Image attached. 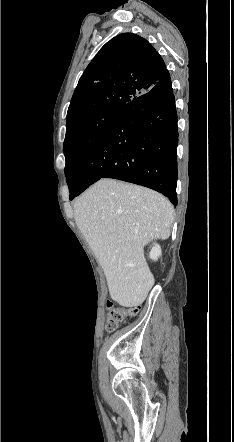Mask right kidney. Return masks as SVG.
<instances>
[{
  "mask_svg": "<svg viewBox=\"0 0 234 442\" xmlns=\"http://www.w3.org/2000/svg\"><path fill=\"white\" fill-rule=\"evenodd\" d=\"M149 256L152 260H157L161 256V247L158 244H154Z\"/></svg>",
  "mask_w": 234,
  "mask_h": 442,
  "instance_id": "ca27d5eb",
  "label": "right kidney"
}]
</instances>
